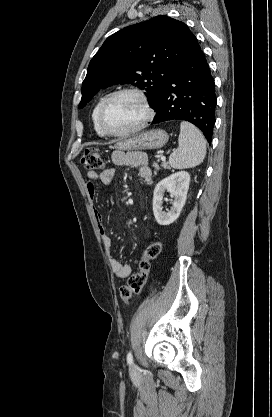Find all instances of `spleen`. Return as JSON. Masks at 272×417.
I'll return each instance as SVG.
<instances>
[{
	"instance_id": "spleen-1",
	"label": "spleen",
	"mask_w": 272,
	"mask_h": 417,
	"mask_svg": "<svg viewBox=\"0 0 272 417\" xmlns=\"http://www.w3.org/2000/svg\"><path fill=\"white\" fill-rule=\"evenodd\" d=\"M178 144V148L169 157L172 168H192L203 162L206 155V141L194 125L186 121L181 122Z\"/></svg>"
}]
</instances>
